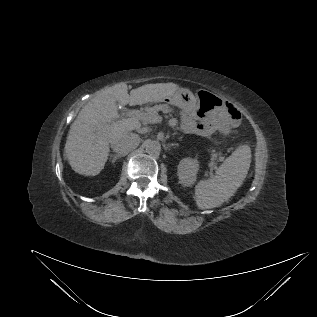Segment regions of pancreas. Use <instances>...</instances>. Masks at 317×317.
<instances>
[{"label":"pancreas","mask_w":317,"mask_h":317,"mask_svg":"<svg viewBox=\"0 0 317 317\" xmlns=\"http://www.w3.org/2000/svg\"><path fill=\"white\" fill-rule=\"evenodd\" d=\"M159 111H162L164 113H169L172 111V109L167 104H162V105L160 104V105H156L154 107L147 108L144 113H146L148 118L149 117L154 118V117L158 116ZM143 121L150 123L149 119H146ZM217 160H218V155H217V153L213 152L209 165L214 166L216 164Z\"/></svg>","instance_id":"1"}]
</instances>
